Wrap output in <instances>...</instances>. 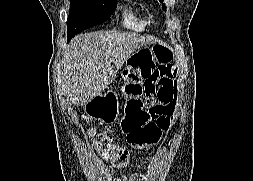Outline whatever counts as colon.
<instances>
[{
    "instance_id": "obj_1",
    "label": "colon",
    "mask_w": 253,
    "mask_h": 181,
    "mask_svg": "<svg viewBox=\"0 0 253 181\" xmlns=\"http://www.w3.org/2000/svg\"><path fill=\"white\" fill-rule=\"evenodd\" d=\"M139 53H146L161 65L170 63L171 54L163 44H154V48H139ZM143 74L131 65L124 71V83L120 94L124 98V117L121 121L122 131L132 146L146 147L158 143L168 129L171 117L167 115L165 101L159 95L145 92L141 80ZM95 143L107 158L117 165H123L127 152L116 145L108 136L93 133Z\"/></svg>"
}]
</instances>
